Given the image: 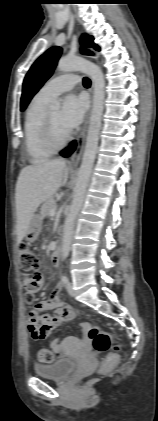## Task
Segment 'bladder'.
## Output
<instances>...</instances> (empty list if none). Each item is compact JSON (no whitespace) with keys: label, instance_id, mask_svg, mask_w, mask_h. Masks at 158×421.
I'll list each match as a JSON object with an SVG mask.
<instances>
[{"label":"bladder","instance_id":"1","mask_svg":"<svg viewBox=\"0 0 158 421\" xmlns=\"http://www.w3.org/2000/svg\"><path fill=\"white\" fill-rule=\"evenodd\" d=\"M76 364L70 358H61L52 363L36 364L34 372L37 376L53 380L67 378L75 369Z\"/></svg>","mask_w":158,"mask_h":421}]
</instances>
